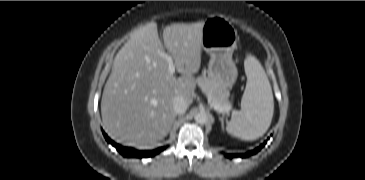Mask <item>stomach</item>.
<instances>
[{
    "label": "stomach",
    "mask_w": 365,
    "mask_h": 180,
    "mask_svg": "<svg viewBox=\"0 0 365 180\" xmlns=\"http://www.w3.org/2000/svg\"><path fill=\"white\" fill-rule=\"evenodd\" d=\"M237 30L225 18L213 16L203 22L202 49L209 55L208 75L225 88L237 79V68L232 54L237 47Z\"/></svg>",
    "instance_id": "0dacf381"
}]
</instances>
